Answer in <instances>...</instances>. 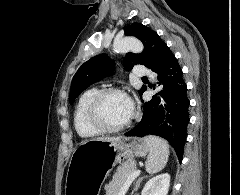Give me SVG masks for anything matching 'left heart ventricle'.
<instances>
[{
    "instance_id": "1",
    "label": "left heart ventricle",
    "mask_w": 240,
    "mask_h": 195,
    "mask_svg": "<svg viewBox=\"0 0 240 195\" xmlns=\"http://www.w3.org/2000/svg\"><path fill=\"white\" fill-rule=\"evenodd\" d=\"M103 114L106 121L113 126L127 123L132 116L125 96L108 97L103 106Z\"/></svg>"
}]
</instances>
